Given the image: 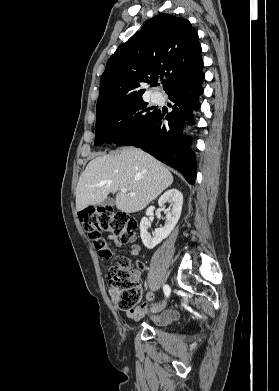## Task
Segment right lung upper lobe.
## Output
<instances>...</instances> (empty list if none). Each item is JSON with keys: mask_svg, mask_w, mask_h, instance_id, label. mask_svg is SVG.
I'll use <instances>...</instances> for the list:
<instances>
[{"mask_svg": "<svg viewBox=\"0 0 279 391\" xmlns=\"http://www.w3.org/2000/svg\"><path fill=\"white\" fill-rule=\"evenodd\" d=\"M198 34L190 22L169 14L150 19L109 58L100 82L96 114L142 100L143 83L165 76L167 94L201 72Z\"/></svg>", "mask_w": 279, "mask_h": 391, "instance_id": "right-lung-upper-lobe-1", "label": "right lung upper lobe"}]
</instances>
